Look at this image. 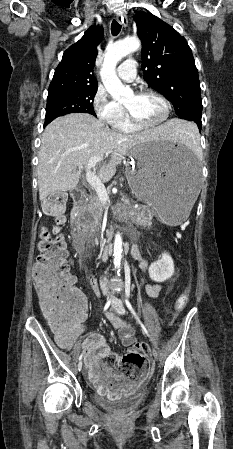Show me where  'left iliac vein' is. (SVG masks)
<instances>
[{"mask_svg": "<svg viewBox=\"0 0 233 449\" xmlns=\"http://www.w3.org/2000/svg\"><path fill=\"white\" fill-rule=\"evenodd\" d=\"M112 303H113V305H114L115 307H117L118 311H119L121 314H124V313H125V310H124V307H123V303H122V301H121L120 299H118V298L115 297V298L113 299ZM152 355H153L154 359L157 360V358H158V352H157L155 349L152 350Z\"/></svg>", "mask_w": 233, "mask_h": 449, "instance_id": "1", "label": "left iliac vein"}]
</instances>
